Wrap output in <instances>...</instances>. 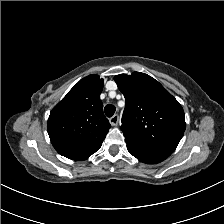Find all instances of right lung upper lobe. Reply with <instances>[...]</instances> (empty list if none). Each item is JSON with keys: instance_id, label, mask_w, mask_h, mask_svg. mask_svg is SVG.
<instances>
[{"instance_id": "cb5924a9", "label": "right lung upper lobe", "mask_w": 224, "mask_h": 224, "mask_svg": "<svg viewBox=\"0 0 224 224\" xmlns=\"http://www.w3.org/2000/svg\"><path fill=\"white\" fill-rule=\"evenodd\" d=\"M103 84L98 75H89L67 93L50 112V139L72 140L85 152H96L101 147L111 127L100 100Z\"/></svg>"}]
</instances>
